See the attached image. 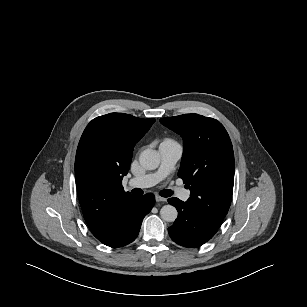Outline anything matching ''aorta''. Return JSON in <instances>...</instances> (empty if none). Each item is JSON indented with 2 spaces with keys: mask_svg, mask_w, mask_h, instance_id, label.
<instances>
[{
  "mask_svg": "<svg viewBox=\"0 0 307 307\" xmlns=\"http://www.w3.org/2000/svg\"><path fill=\"white\" fill-rule=\"evenodd\" d=\"M140 165L146 170H154L160 164V156L152 149L144 150L139 156ZM160 216L164 221L174 222L178 216L176 208L172 205H165L160 210Z\"/></svg>",
  "mask_w": 307,
  "mask_h": 307,
  "instance_id": "aorta-1",
  "label": "aorta"
}]
</instances>
